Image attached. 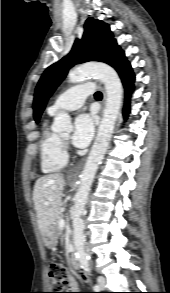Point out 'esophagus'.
Returning <instances> with one entry per match:
<instances>
[{
	"label": "esophagus",
	"mask_w": 170,
	"mask_h": 293,
	"mask_svg": "<svg viewBox=\"0 0 170 293\" xmlns=\"http://www.w3.org/2000/svg\"><path fill=\"white\" fill-rule=\"evenodd\" d=\"M102 91H103V106H104L105 101H106V93H105L104 89H102ZM83 163H84V161L82 160L78 165H76L75 167H73L69 171L68 175L69 176H77L83 166Z\"/></svg>",
	"instance_id": "esophagus-1"
}]
</instances>
